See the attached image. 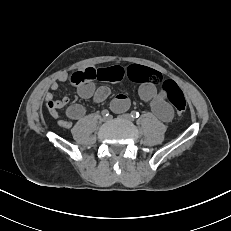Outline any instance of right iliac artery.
I'll list each match as a JSON object with an SVG mask.
<instances>
[{"label": "right iliac artery", "instance_id": "obj_1", "mask_svg": "<svg viewBox=\"0 0 231 231\" xmlns=\"http://www.w3.org/2000/svg\"><path fill=\"white\" fill-rule=\"evenodd\" d=\"M102 115H103L104 117H107V116L109 115V111H108L107 109L103 110V111H102Z\"/></svg>", "mask_w": 231, "mask_h": 231}]
</instances>
